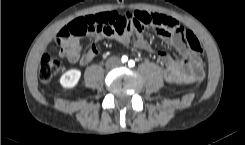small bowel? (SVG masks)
<instances>
[{
    "instance_id": "1",
    "label": "small bowel",
    "mask_w": 245,
    "mask_h": 145,
    "mask_svg": "<svg viewBox=\"0 0 245 145\" xmlns=\"http://www.w3.org/2000/svg\"><path fill=\"white\" fill-rule=\"evenodd\" d=\"M154 14L147 11H134L126 13L129 17L139 20L140 15ZM123 15L117 12H106L103 14L90 15L80 17L79 20L86 22L88 17H93L96 20L97 16H102L107 22L115 21L118 17ZM165 16L163 14H160ZM88 36L92 40V45L88 50L80 53V47L77 38H69L63 43L64 52L61 53L62 57L68 59L72 64L86 65L90 63L99 54V42L103 39H116L120 42H126L128 34H118L113 29L108 28L105 31H99L96 28L88 31ZM156 36L159 37L166 44L173 46L180 54L179 59H174L164 50L157 51L149 42L138 40L137 45L149 52H158L161 62L164 65V77L168 82L174 83H193L204 78V64L201 56L192 50L187 42L178 35L173 34L166 27L161 26L156 30Z\"/></svg>"
}]
</instances>
